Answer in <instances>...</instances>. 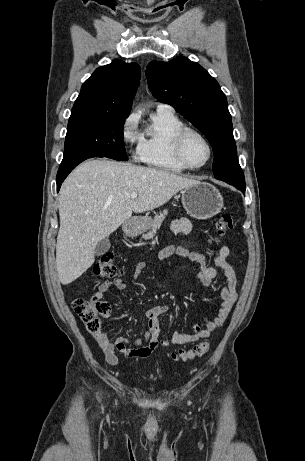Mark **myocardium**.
<instances>
[{
	"label": "myocardium",
	"mask_w": 305,
	"mask_h": 461,
	"mask_svg": "<svg viewBox=\"0 0 305 461\" xmlns=\"http://www.w3.org/2000/svg\"><path fill=\"white\" fill-rule=\"evenodd\" d=\"M190 134L199 137L204 142V144H205V146L207 148V151H208L206 160L202 164L197 165V166H193V165L189 164L188 161L186 160L184 154H183L184 140ZM173 152H174V155H175L176 159L178 160V162L181 165H183L186 169L198 170V169L203 168L204 166H206L209 163V161L211 160L212 154H213V149H212V146H211L209 140L207 139V137L202 132H200L199 130H197L195 128L184 126L175 134V136L173 138Z\"/></svg>",
	"instance_id": "obj_1"
}]
</instances>
